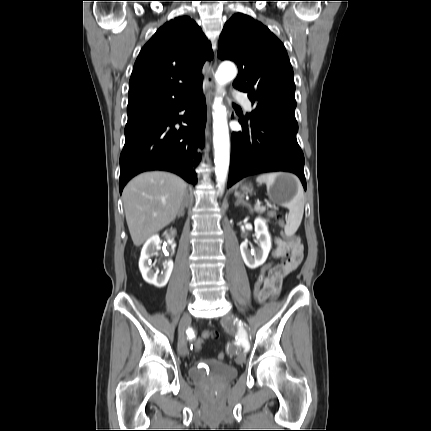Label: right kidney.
<instances>
[{
  "mask_svg": "<svg viewBox=\"0 0 431 431\" xmlns=\"http://www.w3.org/2000/svg\"><path fill=\"white\" fill-rule=\"evenodd\" d=\"M160 245V238L158 235H154L149 238L144 244L141 256L139 259V269L142 274L143 279L157 288H163L169 281L173 270V261L168 260L164 264V270L159 274L152 269L151 257L155 254V249Z\"/></svg>",
  "mask_w": 431,
  "mask_h": 431,
  "instance_id": "ca27d5eb",
  "label": "right kidney"
}]
</instances>
